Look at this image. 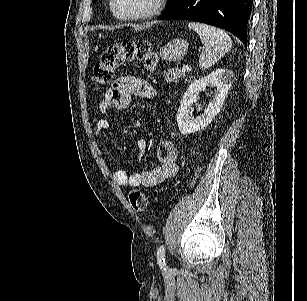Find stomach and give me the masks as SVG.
I'll list each match as a JSON object with an SVG mask.
<instances>
[{
    "instance_id": "obj_1",
    "label": "stomach",
    "mask_w": 307,
    "mask_h": 301,
    "mask_svg": "<svg viewBox=\"0 0 307 301\" xmlns=\"http://www.w3.org/2000/svg\"><path fill=\"white\" fill-rule=\"evenodd\" d=\"M187 48V40H184V38H173L165 46H161L159 56H161L162 60L173 62V60H180L186 54Z\"/></svg>"
}]
</instances>
